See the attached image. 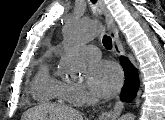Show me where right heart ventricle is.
<instances>
[{"label": "right heart ventricle", "mask_w": 165, "mask_h": 120, "mask_svg": "<svg viewBox=\"0 0 165 120\" xmlns=\"http://www.w3.org/2000/svg\"><path fill=\"white\" fill-rule=\"evenodd\" d=\"M31 91L35 99L41 102H68L67 84L52 71L50 58H46L39 66L33 79Z\"/></svg>", "instance_id": "e07e8e85"}]
</instances>
